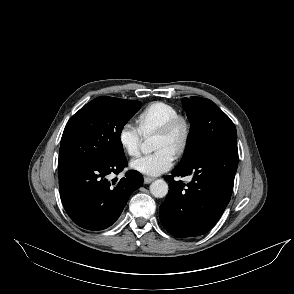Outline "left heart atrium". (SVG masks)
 I'll use <instances>...</instances> for the list:
<instances>
[{
	"label": "left heart atrium",
	"mask_w": 294,
	"mask_h": 294,
	"mask_svg": "<svg viewBox=\"0 0 294 294\" xmlns=\"http://www.w3.org/2000/svg\"><path fill=\"white\" fill-rule=\"evenodd\" d=\"M174 161V152L164 148L132 160L130 166L140 173L158 176L168 171L173 166Z\"/></svg>",
	"instance_id": "39dd6f15"
}]
</instances>
